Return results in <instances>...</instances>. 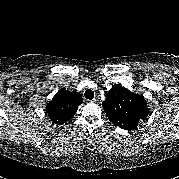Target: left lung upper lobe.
I'll list each match as a JSON object with an SVG mask.
<instances>
[{
	"label": "left lung upper lobe",
	"mask_w": 179,
	"mask_h": 179,
	"mask_svg": "<svg viewBox=\"0 0 179 179\" xmlns=\"http://www.w3.org/2000/svg\"><path fill=\"white\" fill-rule=\"evenodd\" d=\"M102 106L109 120L125 130L136 129L139 122L149 114V108L142 95L116 84L108 91Z\"/></svg>",
	"instance_id": "5c2ea615"
}]
</instances>
